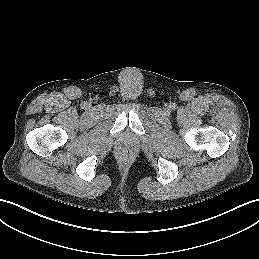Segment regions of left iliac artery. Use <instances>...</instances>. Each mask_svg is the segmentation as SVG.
Returning a JSON list of instances; mask_svg holds the SVG:
<instances>
[{"mask_svg": "<svg viewBox=\"0 0 259 259\" xmlns=\"http://www.w3.org/2000/svg\"><path fill=\"white\" fill-rule=\"evenodd\" d=\"M176 107V104L175 103H172L171 104V108L174 109Z\"/></svg>", "mask_w": 259, "mask_h": 259, "instance_id": "44dca946", "label": "left iliac artery"}]
</instances>
